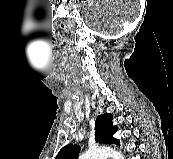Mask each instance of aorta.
<instances>
[{
  "label": "aorta",
  "instance_id": "obj_1",
  "mask_svg": "<svg viewBox=\"0 0 173 159\" xmlns=\"http://www.w3.org/2000/svg\"><path fill=\"white\" fill-rule=\"evenodd\" d=\"M125 159L121 152L108 147L89 149L86 153L79 156V159Z\"/></svg>",
  "mask_w": 173,
  "mask_h": 159
}]
</instances>
